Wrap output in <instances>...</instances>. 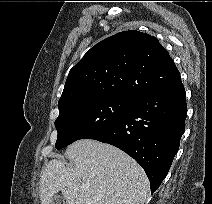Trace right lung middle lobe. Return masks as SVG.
<instances>
[{"label": "right lung middle lobe", "mask_w": 212, "mask_h": 204, "mask_svg": "<svg viewBox=\"0 0 212 204\" xmlns=\"http://www.w3.org/2000/svg\"><path fill=\"white\" fill-rule=\"evenodd\" d=\"M134 100L123 96L99 97L59 109L55 121L56 149L107 130L131 109Z\"/></svg>", "instance_id": "obj_1"}]
</instances>
